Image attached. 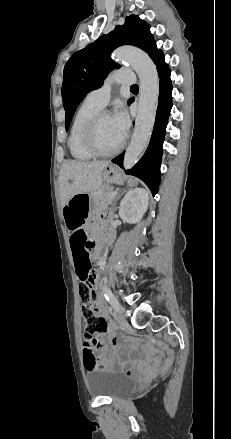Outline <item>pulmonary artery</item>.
<instances>
[{"instance_id": "e3ab8cb5", "label": "pulmonary artery", "mask_w": 231, "mask_h": 439, "mask_svg": "<svg viewBox=\"0 0 231 439\" xmlns=\"http://www.w3.org/2000/svg\"><path fill=\"white\" fill-rule=\"evenodd\" d=\"M134 80V75L130 70L115 71L109 75L102 87L90 91L86 96V100L103 108L109 102L111 88L114 84L131 85Z\"/></svg>"}]
</instances>
